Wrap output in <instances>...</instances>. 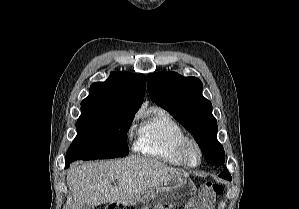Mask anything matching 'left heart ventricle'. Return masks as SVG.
<instances>
[{
    "label": "left heart ventricle",
    "instance_id": "left-heart-ventricle-1",
    "mask_svg": "<svg viewBox=\"0 0 299 209\" xmlns=\"http://www.w3.org/2000/svg\"><path fill=\"white\" fill-rule=\"evenodd\" d=\"M188 160L192 164H196L199 161V154L195 147H191L188 151Z\"/></svg>",
    "mask_w": 299,
    "mask_h": 209
}]
</instances>
